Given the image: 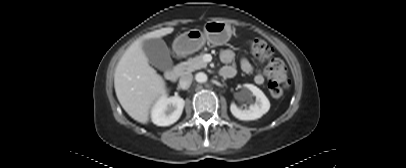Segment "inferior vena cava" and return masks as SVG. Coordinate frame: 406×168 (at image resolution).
I'll use <instances>...</instances> for the list:
<instances>
[{
    "label": "inferior vena cava",
    "instance_id": "inferior-vena-cava-1",
    "mask_svg": "<svg viewBox=\"0 0 406 168\" xmlns=\"http://www.w3.org/2000/svg\"><path fill=\"white\" fill-rule=\"evenodd\" d=\"M193 80V75L191 73L184 74L179 81L180 87L182 89H187L190 87Z\"/></svg>",
    "mask_w": 406,
    "mask_h": 168
}]
</instances>
